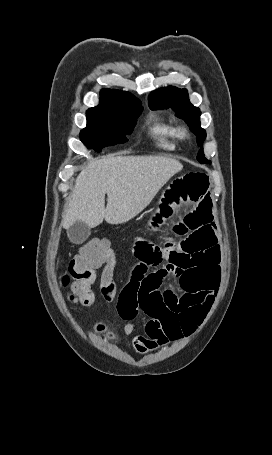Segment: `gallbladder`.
Here are the masks:
<instances>
[{"instance_id":"obj_1","label":"gallbladder","mask_w":272,"mask_h":455,"mask_svg":"<svg viewBox=\"0 0 272 455\" xmlns=\"http://www.w3.org/2000/svg\"><path fill=\"white\" fill-rule=\"evenodd\" d=\"M90 235V228L81 221H76L67 228V236L72 243L80 244L87 240Z\"/></svg>"}]
</instances>
